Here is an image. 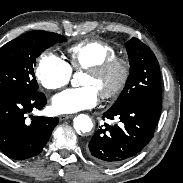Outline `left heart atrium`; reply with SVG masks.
Here are the masks:
<instances>
[{
	"label": "left heart atrium",
	"instance_id": "1",
	"mask_svg": "<svg viewBox=\"0 0 183 183\" xmlns=\"http://www.w3.org/2000/svg\"><path fill=\"white\" fill-rule=\"evenodd\" d=\"M99 99V93L91 86L67 89L52 99L56 113H75L94 107Z\"/></svg>",
	"mask_w": 183,
	"mask_h": 183
}]
</instances>
